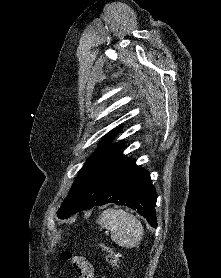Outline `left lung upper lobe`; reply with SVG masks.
I'll use <instances>...</instances> for the list:
<instances>
[{"instance_id": "left-lung-upper-lobe-1", "label": "left lung upper lobe", "mask_w": 221, "mask_h": 278, "mask_svg": "<svg viewBox=\"0 0 221 278\" xmlns=\"http://www.w3.org/2000/svg\"><path fill=\"white\" fill-rule=\"evenodd\" d=\"M118 131L119 129L108 133L103 141L100 142L95 152L90 156L89 160L86 161L78 177L75 179L69 195L63 202L62 207L58 210V216L60 218L65 219L69 217L77 200L94 176L123 150V141L111 143L118 134Z\"/></svg>"}]
</instances>
